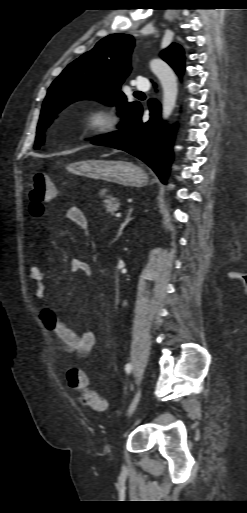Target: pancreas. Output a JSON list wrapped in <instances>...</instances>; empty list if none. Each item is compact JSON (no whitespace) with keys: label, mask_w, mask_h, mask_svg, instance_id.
<instances>
[{"label":"pancreas","mask_w":247,"mask_h":513,"mask_svg":"<svg viewBox=\"0 0 247 513\" xmlns=\"http://www.w3.org/2000/svg\"><path fill=\"white\" fill-rule=\"evenodd\" d=\"M105 209L106 212L110 214V216H114L115 212L120 209V203L117 198L114 197H108L105 200Z\"/></svg>","instance_id":"obj_1"}]
</instances>
